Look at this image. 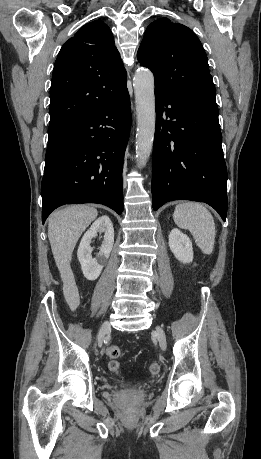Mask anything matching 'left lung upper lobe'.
I'll use <instances>...</instances> for the list:
<instances>
[{
	"label": "left lung upper lobe",
	"mask_w": 261,
	"mask_h": 459,
	"mask_svg": "<svg viewBox=\"0 0 261 459\" xmlns=\"http://www.w3.org/2000/svg\"><path fill=\"white\" fill-rule=\"evenodd\" d=\"M154 74L155 89L175 97L216 104V90L201 42L188 27L162 18L151 23L137 52Z\"/></svg>",
	"instance_id": "left-lung-upper-lobe-1"
}]
</instances>
